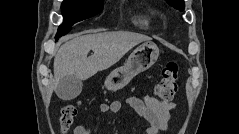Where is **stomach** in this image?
I'll return each mask as SVG.
<instances>
[{"label": "stomach", "mask_w": 239, "mask_h": 134, "mask_svg": "<svg viewBox=\"0 0 239 134\" xmlns=\"http://www.w3.org/2000/svg\"><path fill=\"white\" fill-rule=\"evenodd\" d=\"M159 49L153 42L147 41L137 47L126 63L113 70L105 80L109 90H117L128 84L133 77L150 68L158 59Z\"/></svg>", "instance_id": "stomach-1"}]
</instances>
